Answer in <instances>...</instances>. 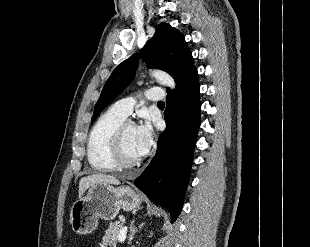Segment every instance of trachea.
Instances as JSON below:
<instances>
[{
    "instance_id": "3493384b",
    "label": "trachea",
    "mask_w": 310,
    "mask_h": 247,
    "mask_svg": "<svg viewBox=\"0 0 310 247\" xmlns=\"http://www.w3.org/2000/svg\"><path fill=\"white\" fill-rule=\"evenodd\" d=\"M158 105H164V102L163 101H159Z\"/></svg>"
}]
</instances>
